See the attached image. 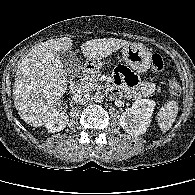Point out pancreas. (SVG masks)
Instances as JSON below:
<instances>
[{
  "instance_id": "cf45deb5",
  "label": "pancreas",
  "mask_w": 195,
  "mask_h": 195,
  "mask_svg": "<svg viewBox=\"0 0 195 195\" xmlns=\"http://www.w3.org/2000/svg\"><path fill=\"white\" fill-rule=\"evenodd\" d=\"M100 73L95 71L92 74H85L81 79L80 84L84 88L89 90H100L103 88V85L99 82Z\"/></svg>"
}]
</instances>
